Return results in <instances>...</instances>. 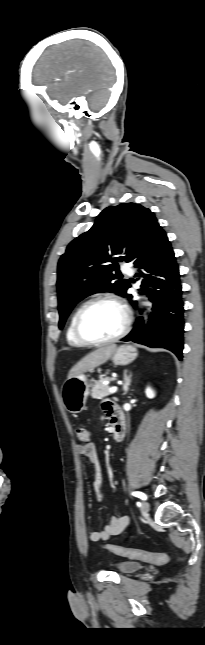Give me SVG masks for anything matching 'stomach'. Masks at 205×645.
<instances>
[{
    "label": "stomach",
    "instance_id": "1",
    "mask_svg": "<svg viewBox=\"0 0 205 645\" xmlns=\"http://www.w3.org/2000/svg\"><path fill=\"white\" fill-rule=\"evenodd\" d=\"M137 350L132 345H122L112 353L116 365H128L137 358ZM89 382L85 374L68 378L62 385V399L66 410L77 414L84 410L89 395Z\"/></svg>",
    "mask_w": 205,
    "mask_h": 645
}]
</instances>
